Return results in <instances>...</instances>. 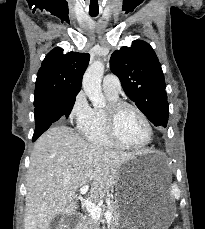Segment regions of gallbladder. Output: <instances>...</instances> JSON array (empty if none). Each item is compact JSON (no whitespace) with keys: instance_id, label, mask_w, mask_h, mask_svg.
<instances>
[{"instance_id":"obj_1","label":"gallbladder","mask_w":205,"mask_h":229,"mask_svg":"<svg viewBox=\"0 0 205 229\" xmlns=\"http://www.w3.org/2000/svg\"><path fill=\"white\" fill-rule=\"evenodd\" d=\"M70 225L69 218H64L63 215H57L52 219L49 229H68Z\"/></svg>"}]
</instances>
